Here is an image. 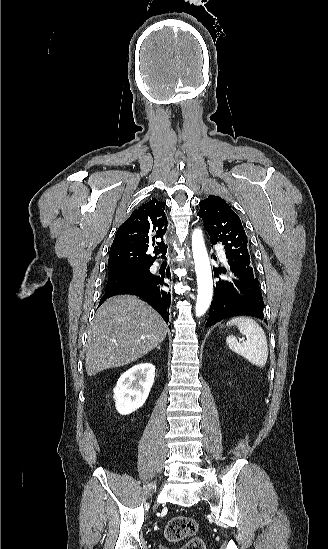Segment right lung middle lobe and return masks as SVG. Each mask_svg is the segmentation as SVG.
<instances>
[{
  "label": "right lung middle lobe",
  "mask_w": 328,
  "mask_h": 549,
  "mask_svg": "<svg viewBox=\"0 0 328 549\" xmlns=\"http://www.w3.org/2000/svg\"><path fill=\"white\" fill-rule=\"evenodd\" d=\"M152 275L153 274L150 273L148 268L132 269L109 274L105 291H110L130 283L145 282Z\"/></svg>",
  "instance_id": "1"
}]
</instances>
